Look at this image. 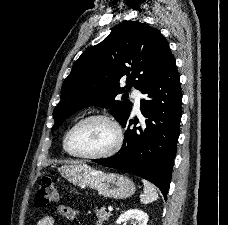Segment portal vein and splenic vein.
Instances as JSON below:
<instances>
[{
	"label": "portal vein and splenic vein",
	"instance_id": "obj_1",
	"mask_svg": "<svg viewBox=\"0 0 228 225\" xmlns=\"http://www.w3.org/2000/svg\"><path fill=\"white\" fill-rule=\"evenodd\" d=\"M108 211H113L112 207H108Z\"/></svg>",
	"mask_w": 228,
	"mask_h": 225
}]
</instances>
